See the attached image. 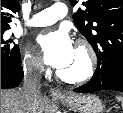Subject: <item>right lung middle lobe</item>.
I'll list each match as a JSON object with an SVG mask.
<instances>
[{
    "label": "right lung middle lobe",
    "mask_w": 123,
    "mask_h": 113,
    "mask_svg": "<svg viewBox=\"0 0 123 113\" xmlns=\"http://www.w3.org/2000/svg\"><path fill=\"white\" fill-rule=\"evenodd\" d=\"M9 28L1 29V62L6 64H16L21 61L18 45L12 44V39H8L6 31Z\"/></svg>",
    "instance_id": "obj_1"
}]
</instances>
